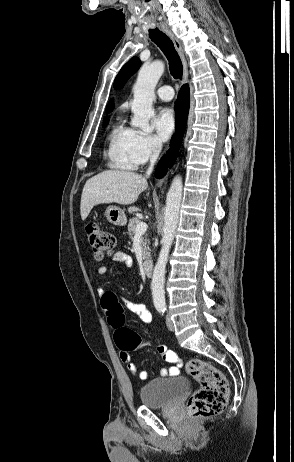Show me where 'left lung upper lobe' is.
Listing matches in <instances>:
<instances>
[{"mask_svg": "<svg viewBox=\"0 0 294 462\" xmlns=\"http://www.w3.org/2000/svg\"><path fill=\"white\" fill-rule=\"evenodd\" d=\"M141 62L139 58L133 57L131 58L120 70L118 73L115 81H114V88L120 89L124 86L128 78L133 75L140 67Z\"/></svg>", "mask_w": 294, "mask_h": 462, "instance_id": "obj_1", "label": "left lung upper lobe"}]
</instances>
